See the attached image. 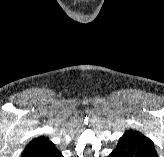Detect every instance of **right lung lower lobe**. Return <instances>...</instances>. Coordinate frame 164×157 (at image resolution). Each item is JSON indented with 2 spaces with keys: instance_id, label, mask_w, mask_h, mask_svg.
I'll list each match as a JSON object with an SVG mask.
<instances>
[{
  "instance_id": "98d812e1",
  "label": "right lung lower lobe",
  "mask_w": 164,
  "mask_h": 157,
  "mask_svg": "<svg viewBox=\"0 0 164 157\" xmlns=\"http://www.w3.org/2000/svg\"><path fill=\"white\" fill-rule=\"evenodd\" d=\"M21 157H63L52 142L42 141L23 152Z\"/></svg>"
}]
</instances>
